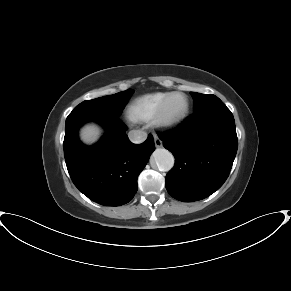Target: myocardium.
Returning a JSON list of instances; mask_svg holds the SVG:
<instances>
[{
  "instance_id": "1",
  "label": "myocardium",
  "mask_w": 291,
  "mask_h": 291,
  "mask_svg": "<svg viewBox=\"0 0 291 291\" xmlns=\"http://www.w3.org/2000/svg\"><path fill=\"white\" fill-rule=\"evenodd\" d=\"M177 96H182L184 98L185 106H184L183 111L179 115L172 116L169 113V106L172 99ZM189 110H190L189 100H188V97L184 93H181V92L170 93L161 104L155 116V123L161 127H167V128L175 127L179 125L188 116Z\"/></svg>"
}]
</instances>
